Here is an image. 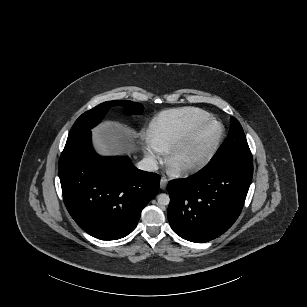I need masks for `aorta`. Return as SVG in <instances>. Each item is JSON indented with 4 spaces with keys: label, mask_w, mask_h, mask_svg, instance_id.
<instances>
[{
    "label": "aorta",
    "mask_w": 307,
    "mask_h": 307,
    "mask_svg": "<svg viewBox=\"0 0 307 307\" xmlns=\"http://www.w3.org/2000/svg\"><path fill=\"white\" fill-rule=\"evenodd\" d=\"M157 202L159 205L166 206L170 202V197L167 194L161 193L157 196Z\"/></svg>",
    "instance_id": "762f6f07"
}]
</instances>
